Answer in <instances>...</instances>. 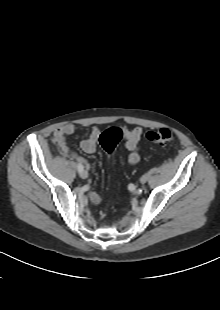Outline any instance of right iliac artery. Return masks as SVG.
Returning a JSON list of instances; mask_svg holds the SVG:
<instances>
[{
	"label": "right iliac artery",
	"instance_id": "82829eb1",
	"mask_svg": "<svg viewBox=\"0 0 220 310\" xmlns=\"http://www.w3.org/2000/svg\"><path fill=\"white\" fill-rule=\"evenodd\" d=\"M77 169H78V172L81 173L83 171L84 167L81 163H78Z\"/></svg>",
	"mask_w": 220,
	"mask_h": 310
}]
</instances>
